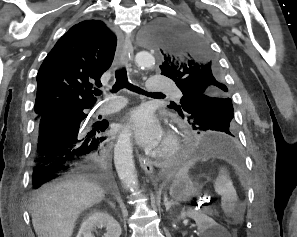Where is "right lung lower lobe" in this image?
<instances>
[{
  "label": "right lung lower lobe",
  "mask_w": 297,
  "mask_h": 237,
  "mask_svg": "<svg viewBox=\"0 0 297 237\" xmlns=\"http://www.w3.org/2000/svg\"><path fill=\"white\" fill-rule=\"evenodd\" d=\"M83 110H52L36 118L32 165L34 189L72 174L93 173L102 179L108 177L109 161L104 150L106 138L100 136L108 124L97 123L85 131L80 126L87 116Z\"/></svg>",
  "instance_id": "1"
}]
</instances>
